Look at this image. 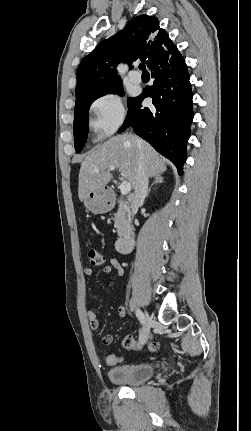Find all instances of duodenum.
I'll list each match as a JSON object with an SVG mask.
<instances>
[{
    "mask_svg": "<svg viewBox=\"0 0 251 431\" xmlns=\"http://www.w3.org/2000/svg\"><path fill=\"white\" fill-rule=\"evenodd\" d=\"M135 244V232L132 227H128L125 232L117 239L115 243L116 250L119 253H130Z\"/></svg>",
    "mask_w": 251,
    "mask_h": 431,
    "instance_id": "1",
    "label": "duodenum"
}]
</instances>
